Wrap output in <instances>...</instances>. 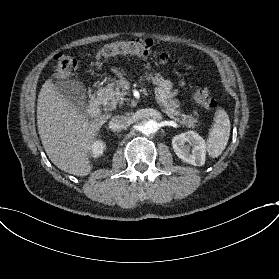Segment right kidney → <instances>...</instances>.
<instances>
[{
  "mask_svg": "<svg viewBox=\"0 0 279 279\" xmlns=\"http://www.w3.org/2000/svg\"><path fill=\"white\" fill-rule=\"evenodd\" d=\"M105 145L102 142L95 141L91 144V156L98 157L103 154Z\"/></svg>",
  "mask_w": 279,
  "mask_h": 279,
  "instance_id": "right-kidney-1",
  "label": "right kidney"
}]
</instances>
